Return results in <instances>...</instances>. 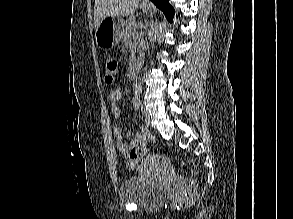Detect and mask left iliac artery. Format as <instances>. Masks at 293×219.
Wrapping results in <instances>:
<instances>
[{
    "mask_svg": "<svg viewBox=\"0 0 293 219\" xmlns=\"http://www.w3.org/2000/svg\"><path fill=\"white\" fill-rule=\"evenodd\" d=\"M137 92L140 94V93L142 92V90H141V89H139Z\"/></svg>",
    "mask_w": 293,
    "mask_h": 219,
    "instance_id": "44dca946",
    "label": "left iliac artery"
}]
</instances>
